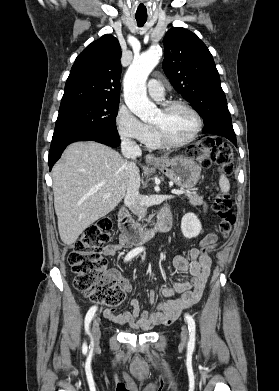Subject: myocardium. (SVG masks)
Wrapping results in <instances>:
<instances>
[{
	"label": "myocardium",
	"mask_w": 279,
	"mask_h": 391,
	"mask_svg": "<svg viewBox=\"0 0 279 391\" xmlns=\"http://www.w3.org/2000/svg\"><path fill=\"white\" fill-rule=\"evenodd\" d=\"M174 107H184L188 111H190L193 114V116L195 117L196 127H195V130L193 131V133L186 140L176 142V141H172L171 139L168 138V136L166 135L162 126H160L158 124H152L153 130L155 132V135H156L159 143L162 146L168 147V148H179V147H183V146L190 144L191 142H193L197 138V136L201 132L202 126H203L202 117L199 114V112L191 104H189L186 101H183V100L167 101L162 104L161 111L163 113H167L168 111H170Z\"/></svg>",
	"instance_id": "1"
}]
</instances>
